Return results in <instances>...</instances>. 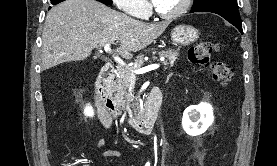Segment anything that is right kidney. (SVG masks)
I'll return each mask as SVG.
<instances>
[{
	"label": "right kidney",
	"instance_id": "right-kidney-1",
	"mask_svg": "<svg viewBox=\"0 0 277 166\" xmlns=\"http://www.w3.org/2000/svg\"><path fill=\"white\" fill-rule=\"evenodd\" d=\"M86 116L92 117L94 115L93 109L91 106H87L84 110Z\"/></svg>",
	"mask_w": 277,
	"mask_h": 166
}]
</instances>
